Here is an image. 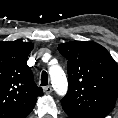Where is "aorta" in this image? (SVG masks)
Instances as JSON below:
<instances>
[{
  "label": "aorta",
  "mask_w": 118,
  "mask_h": 118,
  "mask_svg": "<svg viewBox=\"0 0 118 118\" xmlns=\"http://www.w3.org/2000/svg\"><path fill=\"white\" fill-rule=\"evenodd\" d=\"M51 83L57 94L63 96L67 92L68 82L64 71L58 65H53L49 68Z\"/></svg>",
  "instance_id": "aorta-1"
}]
</instances>
